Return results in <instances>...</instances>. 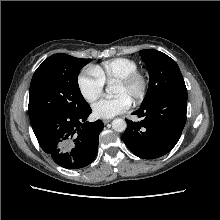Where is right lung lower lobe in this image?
Wrapping results in <instances>:
<instances>
[{"instance_id": "right-lung-lower-lobe-1", "label": "right lung lower lobe", "mask_w": 220, "mask_h": 220, "mask_svg": "<svg viewBox=\"0 0 220 220\" xmlns=\"http://www.w3.org/2000/svg\"><path fill=\"white\" fill-rule=\"evenodd\" d=\"M91 112L89 106L75 114H54L32 125L41 148L58 165L78 169L95 159L104 124L101 120L85 122Z\"/></svg>"}]
</instances>
